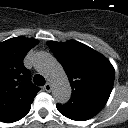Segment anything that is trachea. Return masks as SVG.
<instances>
[{
  "label": "trachea",
  "mask_w": 128,
  "mask_h": 128,
  "mask_svg": "<svg viewBox=\"0 0 128 128\" xmlns=\"http://www.w3.org/2000/svg\"><path fill=\"white\" fill-rule=\"evenodd\" d=\"M34 83L38 86H43L45 84V79L40 74L34 76Z\"/></svg>",
  "instance_id": "3493384b"
}]
</instances>
